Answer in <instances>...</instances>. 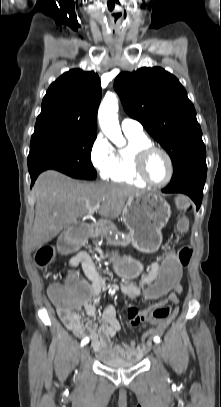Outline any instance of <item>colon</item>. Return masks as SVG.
<instances>
[{
  "label": "colon",
  "mask_w": 221,
  "mask_h": 407,
  "mask_svg": "<svg viewBox=\"0 0 221 407\" xmlns=\"http://www.w3.org/2000/svg\"><path fill=\"white\" fill-rule=\"evenodd\" d=\"M176 205L180 210H190L189 199L184 195L176 198ZM92 230V222H71L68 230H65L64 234H60L58 254L75 255L76 249H82L85 246V239H88L89 235L88 231ZM185 230L186 221L182 219L178 223V231L183 233ZM54 255L55 250L52 247H43L38 251L36 261L38 265L44 267L53 260ZM191 256L192 250L187 246L182 247L178 252H165L164 258L159 263L158 277L154 279V283H149V291L143 294V297L147 300H159L160 297H163L162 292H175L176 286L181 285L182 267L189 264ZM48 295L61 314L73 312L79 306V294L75 279L67 280L66 285L52 284L48 289ZM169 311V305H157L151 314L141 316H145L148 322L168 317Z\"/></svg>",
  "instance_id": "1"
}]
</instances>
